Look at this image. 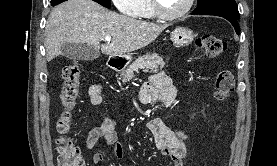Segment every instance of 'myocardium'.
<instances>
[{"mask_svg": "<svg viewBox=\"0 0 277 166\" xmlns=\"http://www.w3.org/2000/svg\"><path fill=\"white\" fill-rule=\"evenodd\" d=\"M150 2H151V6L153 8L155 15L159 19L165 20V21H174V20H178V19L182 18L191 10L194 0H187L184 7L180 11L173 13V14L166 13L163 10L159 0H150Z\"/></svg>", "mask_w": 277, "mask_h": 166, "instance_id": "f54148a6", "label": "myocardium"}]
</instances>
